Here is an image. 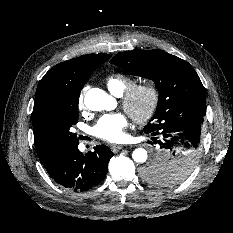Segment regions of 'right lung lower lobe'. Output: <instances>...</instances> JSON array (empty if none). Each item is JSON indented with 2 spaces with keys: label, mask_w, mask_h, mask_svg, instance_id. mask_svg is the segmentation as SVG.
I'll use <instances>...</instances> for the list:
<instances>
[{
  "label": "right lung lower lobe",
  "mask_w": 233,
  "mask_h": 233,
  "mask_svg": "<svg viewBox=\"0 0 233 233\" xmlns=\"http://www.w3.org/2000/svg\"><path fill=\"white\" fill-rule=\"evenodd\" d=\"M78 144L50 154L38 156L56 183L75 191H85L99 184L107 173L113 152L105 145L83 154Z\"/></svg>",
  "instance_id": "obj_1"
}]
</instances>
